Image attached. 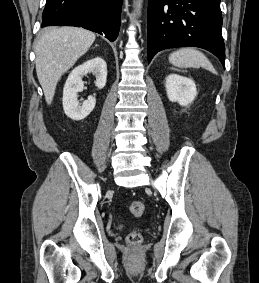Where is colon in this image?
Returning <instances> with one entry per match:
<instances>
[{
  "label": "colon",
  "instance_id": "obj_1",
  "mask_svg": "<svg viewBox=\"0 0 259 283\" xmlns=\"http://www.w3.org/2000/svg\"><path fill=\"white\" fill-rule=\"evenodd\" d=\"M130 211L134 216L140 217L145 211V205L141 201H134L130 205ZM126 242L130 246H139L142 243V235L137 231H132L127 235Z\"/></svg>",
  "mask_w": 259,
  "mask_h": 283
}]
</instances>
